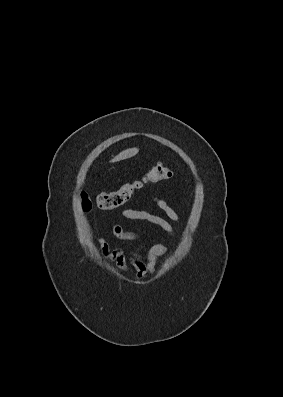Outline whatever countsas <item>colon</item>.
Wrapping results in <instances>:
<instances>
[{
  "label": "colon",
  "instance_id": "obj_1",
  "mask_svg": "<svg viewBox=\"0 0 283 397\" xmlns=\"http://www.w3.org/2000/svg\"><path fill=\"white\" fill-rule=\"evenodd\" d=\"M173 176L172 170L163 163L151 166L142 181L123 184L114 191L99 193L95 199V205L101 210H113L123 206L132 196L134 191L144 183H155L170 179ZM82 206L84 210H90L93 201L90 196L83 191L81 193Z\"/></svg>",
  "mask_w": 283,
  "mask_h": 397
}]
</instances>
